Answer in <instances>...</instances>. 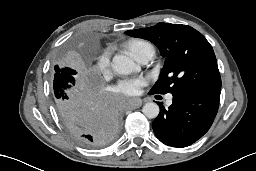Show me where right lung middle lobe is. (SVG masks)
<instances>
[{
    "label": "right lung middle lobe",
    "mask_w": 256,
    "mask_h": 171,
    "mask_svg": "<svg viewBox=\"0 0 256 171\" xmlns=\"http://www.w3.org/2000/svg\"><path fill=\"white\" fill-rule=\"evenodd\" d=\"M76 70L69 66L67 57L58 60L52 71L53 96L56 108L72 101L84 88L77 83Z\"/></svg>",
    "instance_id": "obj_1"
}]
</instances>
